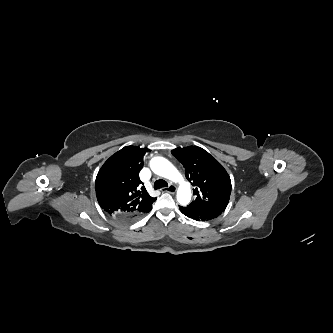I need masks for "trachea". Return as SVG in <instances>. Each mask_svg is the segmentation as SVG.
Returning <instances> with one entry per match:
<instances>
[{"label":"trachea","instance_id":"3493384b","mask_svg":"<svg viewBox=\"0 0 333 333\" xmlns=\"http://www.w3.org/2000/svg\"><path fill=\"white\" fill-rule=\"evenodd\" d=\"M167 186H168V183L163 179H159V180L155 181V183H154V189H160V188L167 187Z\"/></svg>","mask_w":333,"mask_h":333}]
</instances>
